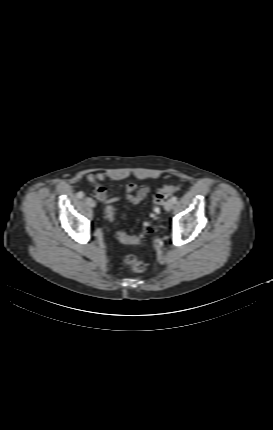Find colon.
I'll return each instance as SVG.
<instances>
[{
	"mask_svg": "<svg viewBox=\"0 0 273 430\" xmlns=\"http://www.w3.org/2000/svg\"><path fill=\"white\" fill-rule=\"evenodd\" d=\"M177 191V187L174 185H169L158 190L152 197V212L151 216L155 218L160 212V206L164 204V202L175 192ZM115 208L113 206L106 207L105 214L109 219L114 218ZM154 226L150 222H145L142 227V231L135 236H128L132 243H137L142 241L147 235L154 232ZM124 233L118 232V238H122ZM125 264L133 271H143L145 269L144 262L140 259V257L133 251L131 248L127 249L124 255Z\"/></svg>",
	"mask_w": 273,
	"mask_h": 430,
	"instance_id": "1",
	"label": "colon"
}]
</instances>
